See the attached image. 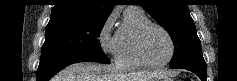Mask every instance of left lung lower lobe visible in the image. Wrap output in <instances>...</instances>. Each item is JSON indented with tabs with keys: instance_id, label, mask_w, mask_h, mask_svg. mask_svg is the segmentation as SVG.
Returning a JSON list of instances; mask_svg holds the SVG:
<instances>
[{
	"instance_id": "0a47b994",
	"label": "left lung lower lobe",
	"mask_w": 237,
	"mask_h": 81,
	"mask_svg": "<svg viewBox=\"0 0 237 81\" xmlns=\"http://www.w3.org/2000/svg\"><path fill=\"white\" fill-rule=\"evenodd\" d=\"M182 69H186L195 73L202 81H206L207 79L206 68L189 67V68H182Z\"/></svg>"
}]
</instances>
